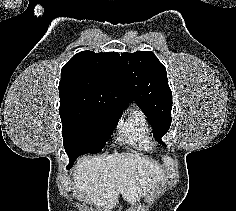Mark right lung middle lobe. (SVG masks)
<instances>
[{
  "mask_svg": "<svg viewBox=\"0 0 236 211\" xmlns=\"http://www.w3.org/2000/svg\"><path fill=\"white\" fill-rule=\"evenodd\" d=\"M59 110L63 144L69 159L100 152L122 114L121 109L71 107Z\"/></svg>",
  "mask_w": 236,
  "mask_h": 211,
  "instance_id": "dd1d6c3e",
  "label": "right lung middle lobe"
}]
</instances>
